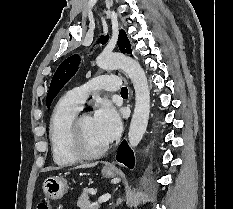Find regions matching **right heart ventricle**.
I'll return each mask as SVG.
<instances>
[{
	"label": "right heart ventricle",
	"instance_id": "e07e8e85",
	"mask_svg": "<svg viewBox=\"0 0 233 209\" xmlns=\"http://www.w3.org/2000/svg\"><path fill=\"white\" fill-rule=\"evenodd\" d=\"M79 108L63 97L55 106L49 123V142L53 161L65 167L76 164L79 158L69 149L68 129Z\"/></svg>",
	"mask_w": 233,
	"mask_h": 209
}]
</instances>
